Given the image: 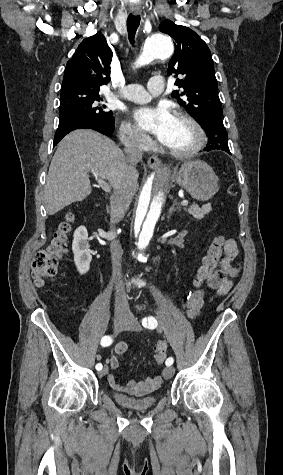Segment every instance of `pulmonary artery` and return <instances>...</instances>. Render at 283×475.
Segmentation results:
<instances>
[{
    "mask_svg": "<svg viewBox=\"0 0 283 475\" xmlns=\"http://www.w3.org/2000/svg\"><path fill=\"white\" fill-rule=\"evenodd\" d=\"M148 88L138 84L130 85L124 89V92L119 93V98L142 103L150 100L152 96H164L166 93L163 80H149Z\"/></svg>",
    "mask_w": 283,
    "mask_h": 475,
    "instance_id": "pulmonary-artery-1",
    "label": "pulmonary artery"
}]
</instances>
